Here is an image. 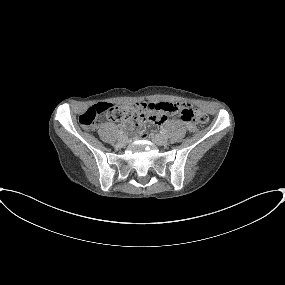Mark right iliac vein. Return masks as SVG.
Listing matches in <instances>:
<instances>
[{"label":"right iliac vein","instance_id":"63e3f726","mask_svg":"<svg viewBox=\"0 0 285 285\" xmlns=\"http://www.w3.org/2000/svg\"><path fill=\"white\" fill-rule=\"evenodd\" d=\"M127 141H128V138L126 136H121L118 140V144L120 146H125Z\"/></svg>","mask_w":285,"mask_h":285}]
</instances>
